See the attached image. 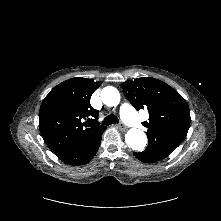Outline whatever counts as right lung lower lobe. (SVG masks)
<instances>
[{
	"label": "right lung lower lobe",
	"mask_w": 221,
	"mask_h": 221,
	"mask_svg": "<svg viewBox=\"0 0 221 221\" xmlns=\"http://www.w3.org/2000/svg\"><path fill=\"white\" fill-rule=\"evenodd\" d=\"M105 129L92 133L76 148L58 158L64 163L73 166L88 163L97 153Z\"/></svg>",
	"instance_id": "obj_1"
}]
</instances>
